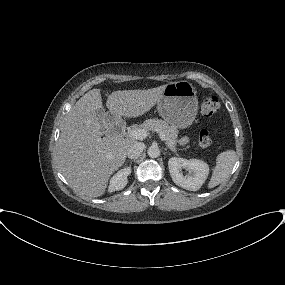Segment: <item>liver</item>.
<instances>
[{
    "label": "liver",
    "instance_id": "1",
    "mask_svg": "<svg viewBox=\"0 0 285 285\" xmlns=\"http://www.w3.org/2000/svg\"><path fill=\"white\" fill-rule=\"evenodd\" d=\"M166 85L147 90L112 92L106 106L116 117H138L161 99ZM103 108L100 89L82 96L65 118L58 142L59 168L70 186L81 195L104 194L110 176L125 162L134 139L104 134L96 116Z\"/></svg>",
    "mask_w": 285,
    "mask_h": 285
}]
</instances>
